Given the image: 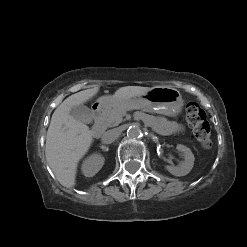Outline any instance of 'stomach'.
<instances>
[{"label": "stomach", "mask_w": 247, "mask_h": 247, "mask_svg": "<svg viewBox=\"0 0 247 247\" xmlns=\"http://www.w3.org/2000/svg\"><path fill=\"white\" fill-rule=\"evenodd\" d=\"M128 103L136 104L166 116H177L184 106L181 93L170 86L153 87L146 94L130 100H118L113 96H105L97 100L98 106L102 109L118 107Z\"/></svg>", "instance_id": "stomach-1"}]
</instances>
